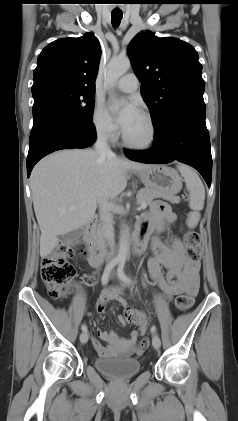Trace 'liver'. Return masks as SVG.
Segmentation results:
<instances>
[{"instance_id": "liver-1", "label": "liver", "mask_w": 238, "mask_h": 421, "mask_svg": "<svg viewBox=\"0 0 238 421\" xmlns=\"http://www.w3.org/2000/svg\"><path fill=\"white\" fill-rule=\"evenodd\" d=\"M149 166L88 149L61 150L40 160L31 173L30 188L41 230V257L54 250L59 236L92 220L99 201L123 192L129 171Z\"/></svg>"}]
</instances>
